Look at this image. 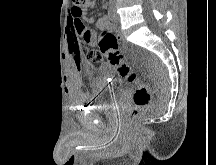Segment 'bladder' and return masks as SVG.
<instances>
[{"mask_svg":"<svg viewBox=\"0 0 216 165\" xmlns=\"http://www.w3.org/2000/svg\"><path fill=\"white\" fill-rule=\"evenodd\" d=\"M84 86H88L87 97H91L88 106H92V111H111L113 103H117L119 97H125L121 76H112L110 71H104L101 76H91V81H84Z\"/></svg>","mask_w":216,"mask_h":165,"instance_id":"1","label":"bladder"}]
</instances>
